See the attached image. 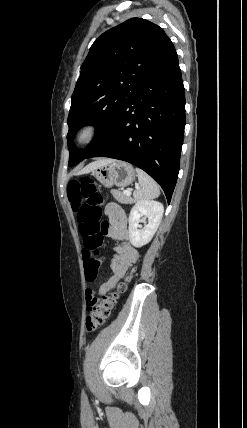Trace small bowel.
Here are the masks:
<instances>
[{"label":"small bowel","mask_w":247,"mask_h":428,"mask_svg":"<svg viewBox=\"0 0 247 428\" xmlns=\"http://www.w3.org/2000/svg\"><path fill=\"white\" fill-rule=\"evenodd\" d=\"M109 218L106 233L115 241V254L109 260L111 274L99 285L98 293L105 294L111 290L126 274L131 265L139 257L138 250L131 244L127 219L124 211L115 203H109L105 208ZM94 298L92 289L86 290V300ZM96 300V299H95Z\"/></svg>","instance_id":"c3829d8e"}]
</instances>
